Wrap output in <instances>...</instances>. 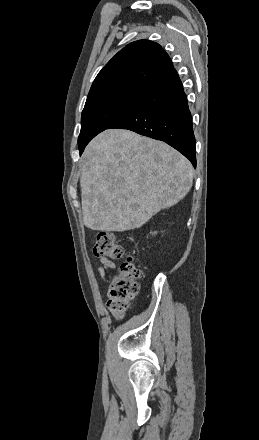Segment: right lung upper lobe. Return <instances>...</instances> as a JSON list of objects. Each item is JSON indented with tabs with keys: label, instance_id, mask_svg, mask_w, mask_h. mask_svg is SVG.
I'll return each instance as SVG.
<instances>
[{
	"label": "right lung upper lobe",
	"instance_id": "right-lung-upper-lobe-1",
	"mask_svg": "<svg viewBox=\"0 0 259 440\" xmlns=\"http://www.w3.org/2000/svg\"><path fill=\"white\" fill-rule=\"evenodd\" d=\"M173 68L162 47L149 40H138L120 50L99 72L87 101L124 89L149 90Z\"/></svg>",
	"mask_w": 259,
	"mask_h": 440
}]
</instances>
